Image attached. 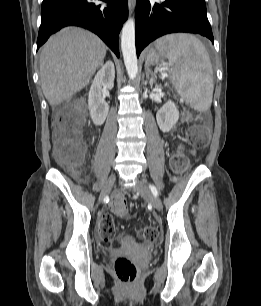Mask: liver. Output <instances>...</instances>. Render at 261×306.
Listing matches in <instances>:
<instances>
[{
    "mask_svg": "<svg viewBox=\"0 0 261 306\" xmlns=\"http://www.w3.org/2000/svg\"><path fill=\"white\" fill-rule=\"evenodd\" d=\"M106 46L95 34L80 28L52 36L40 55V81L51 106L82 90L103 64Z\"/></svg>",
    "mask_w": 261,
    "mask_h": 306,
    "instance_id": "liver-1",
    "label": "liver"
}]
</instances>
